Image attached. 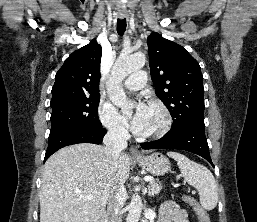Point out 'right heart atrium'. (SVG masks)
<instances>
[{
    "label": "right heart atrium",
    "instance_id": "obj_1",
    "mask_svg": "<svg viewBox=\"0 0 257 222\" xmlns=\"http://www.w3.org/2000/svg\"><path fill=\"white\" fill-rule=\"evenodd\" d=\"M98 117L108 133L116 138L127 137L124 122L116 109L109 103L101 101L98 106Z\"/></svg>",
    "mask_w": 257,
    "mask_h": 222
}]
</instances>
